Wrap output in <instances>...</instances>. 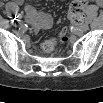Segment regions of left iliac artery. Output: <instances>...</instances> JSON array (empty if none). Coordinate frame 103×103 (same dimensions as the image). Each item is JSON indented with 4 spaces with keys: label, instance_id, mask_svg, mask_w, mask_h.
Segmentation results:
<instances>
[{
    "label": "left iliac artery",
    "instance_id": "obj_1",
    "mask_svg": "<svg viewBox=\"0 0 103 103\" xmlns=\"http://www.w3.org/2000/svg\"><path fill=\"white\" fill-rule=\"evenodd\" d=\"M85 22H86L87 24L91 23V18H90V17H86V18H85Z\"/></svg>",
    "mask_w": 103,
    "mask_h": 103
}]
</instances>
